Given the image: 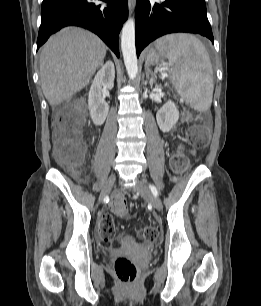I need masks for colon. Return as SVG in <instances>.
Wrapping results in <instances>:
<instances>
[{
	"mask_svg": "<svg viewBox=\"0 0 261 306\" xmlns=\"http://www.w3.org/2000/svg\"><path fill=\"white\" fill-rule=\"evenodd\" d=\"M84 113L77 104L63 106L54 119L55 157L57 161L73 172H79L85 158V145L82 140ZM188 139L192 147L203 149L209 143V128L206 124L192 126L188 130ZM170 166L175 173L182 174L190 167V159L183 146H177L170 158ZM112 211L125 216L128 212L124 196L118 195L110 202ZM99 233L104 243H111L115 238V224L111 214L105 213L99 221ZM159 236L155 226H146L140 231V237L153 243ZM118 279L124 283H133L138 277L136 264L127 257H118L113 264Z\"/></svg>",
	"mask_w": 261,
	"mask_h": 306,
	"instance_id": "5ec220e1",
	"label": "colon"
}]
</instances>
